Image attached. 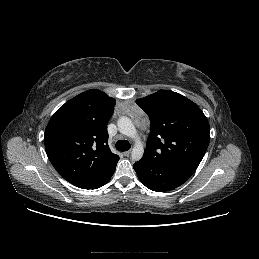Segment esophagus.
<instances>
[{
	"label": "esophagus",
	"instance_id": "esophagus-1",
	"mask_svg": "<svg viewBox=\"0 0 259 259\" xmlns=\"http://www.w3.org/2000/svg\"><path fill=\"white\" fill-rule=\"evenodd\" d=\"M130 154H131V150H128V151L124 152V155L127 156V157L130 156Z\"/></svg>",
	"mask_w": 259,
	"mask_h": 259
}]
</instances>
